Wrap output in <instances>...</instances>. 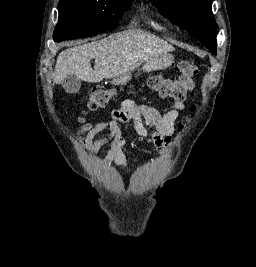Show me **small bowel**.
<instances>
[{
    "instance_id": "c3829d8e",
    "label": "small bowel",
    "mask_w": 256,
    "mask_h": 267,
    "mask_svg": "<svg viewBox=\"0 0 256 267\" xmlns=\"http://www.w3.org/2000/svg\"><path fill=\"white\" fill-rule=\"evenodd\" d=\"M184 107L183 101H175L161 110H155L138 106L132 100L126 99L111 112L108 119H103L95 125H82L78 130V136L80 142L93 154L103 146L110 145L103 164H112L126 171L128 169L125 155L127 141L122 135L119 122L133 124L140 136L149 138L158 151L165 156L171 148L176 118ZM105 129L109 130V134L94 140V137Z\"/></svg>"
}]
</instances>
